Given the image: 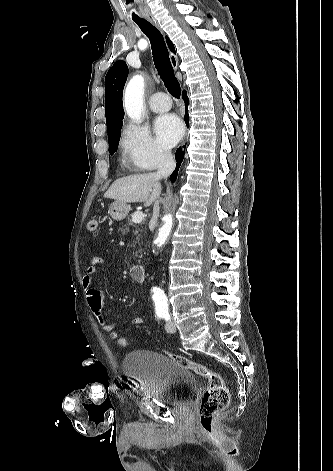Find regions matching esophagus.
I'll list each match as a JSON object with an SVG mask.
<instances>
[{"label":"esophagus","instance_id":"1","mask_svg":"<svg viewBox=\"0 0 333 471\" xmlns=\"http://www.w3.org/2000/svg\"><path fill=\"white\" fill-rule=\"evenodd\" d=\"M147 19H148L154 26H156L157 28H159L158 21H157V19H156L153 15H148V16H147ZM170 61H171V64H172L173 68L176 70L177 67H178V60H177V57H176L172 52H170Z\"/></svg>","mask_w":333,"mask_h":471}]
</instances>
